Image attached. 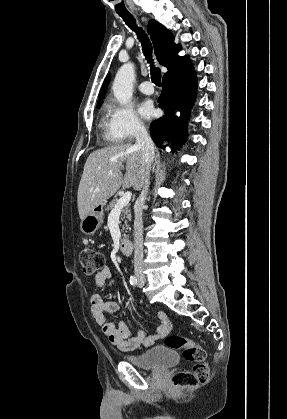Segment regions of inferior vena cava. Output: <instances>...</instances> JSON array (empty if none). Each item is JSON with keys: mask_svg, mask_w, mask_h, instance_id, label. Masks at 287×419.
I'll return each instance as SVG.
<instances>
[{"mask_svg": "<svg viewBox=\"0 0 287 419\" xmlns=\"http://www.w3.org/2000/svg\"><path fill=\"white\" fill-rule=\"evenodd\" d=\"M136 146L142 151V158L145 164V178L143 189L135 205L134 220V272L137 277L143 276V207L146 201V195L149 188V175L151 163L154 160V143L143 125H137L135 128Z\"/></svg>", "mask_w": 287, "mask_h": 419, "instance_id": "obj_1", "label": "inferior vena cava"}]
</instances>
